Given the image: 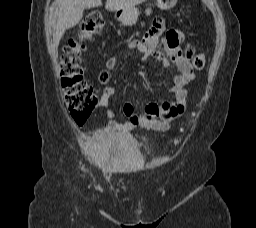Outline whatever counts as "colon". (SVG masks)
I'll return each instance as SVG.
<instances>
[{
    "instance_id": "colon-1",
    "label": "colon",
    "mask_w": 256,
    "mask_h": 228,
    "mask_svg": "<svg viewBox=\"0 0 256 228\" xmlns=\"http://www.w3.org/2000/svg\"><path fill=\"white\" fill-rule=\"evenodd\" d=\"M104 26L101 12L91 11L82 20L77 37L64 47L60 57L61 85L64 99L71 117L77 123H84L97 109L100 100L85 77L81 66V53L85 41L99 33ZM206 59L204 54L194 55L191 64L194 69H202Z\"/></svg>"
}]
</instances>
